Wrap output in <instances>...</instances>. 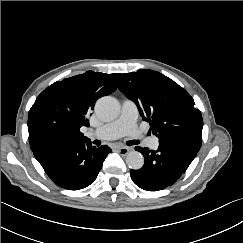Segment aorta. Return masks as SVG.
<instances>
[{"instance_id":"aorta-1","label":"aorta","mask_w":243,"mask_h":243,"mask_svg":"<svg viewBox=\"0 0 243 243\" xmlns=\"http://www.w3.org/2000/svg\"><path fill=\"white\" fill-rule=\"evenodd\" d=\"M95 113L103 121H112L119 113L118 102L112 97H102L95 104ZM126 164L130 169H141L144 165V157L138 151H131L126 156Z\"/></svg>"}]
</instances>
